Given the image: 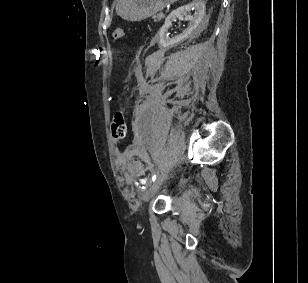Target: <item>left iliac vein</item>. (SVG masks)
<instances>
[{"label": "left iliac vein", "instance_id": "1", "mask_svg": "<svg viewBox=\"0 0 308 283\" xmlns=\"http://www.w3.org/2000/svg\"><path fill=\"white\" fill-rule=\"evenodd\" d=\"M163 180L164 175H159L156 180L151 184L150 188L143 195V200L145 202H148L156 194Z\"/></svg>", "mask_w": 308, "mask_h": 283}]
</instances>
